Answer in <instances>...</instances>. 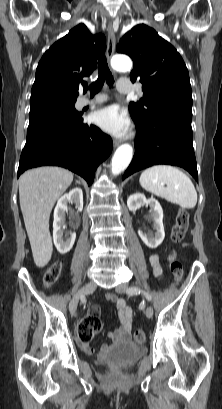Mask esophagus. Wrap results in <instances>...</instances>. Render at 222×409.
<instances>
[{"label": "esophagus", "instance_id": "obj_1", "mask_svg": "<svg viewBox=\"0 0 222 409\" xmlns=\"http://www.w3.org/2000/svg\"><path fill=\"white\" fill-rule=\"evenodd\" d=\"M117 29V24L116 23H109L108 24V44H107V58L110 60L114 54L115 51V43H116V37H115V32ZM114 147L116 148L119 145V141L115 140L113 142Z\"/></svg>", "mask_w": 222, "mask_h": 409}]
</instances>
